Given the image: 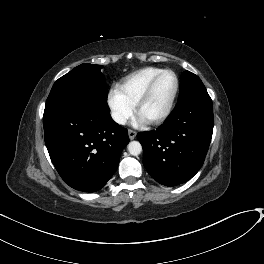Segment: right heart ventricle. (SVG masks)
<instances>
[{"instance_id": "right-heart-ventricle-1", "label": "right heart ventricle", "mask_w": 264, "mask_h": 264, "mask_svg": "<svg viewBox=\"0 0 264 264\" xmlns=\"http://www.w3.org/2000/svg\"><path fill=\"white\" fill-rule=\"evenodd\" d=\"M163 69L157 67H145L127 75L119 85V90L133 104L141 96L149 82Z\"/></svg>"}]
</instances>
